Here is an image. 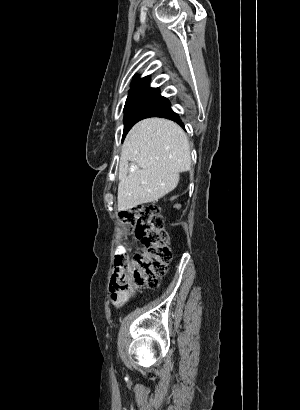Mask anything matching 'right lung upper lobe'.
Wrapping results in <instances>:
<instances>
[{
	"label": "right lung upper lobe",
	"instance_id": "1",
	"mask_svg": "<svg viewBox=\"0 0 300 410\" xmlns=\"http://www.w3.org/2000/svg\"><path fill=\"white\" fill-rule=\"evenodd\" d=\"M149 82H150V78H149V76H146V77L141 78V79L137 80L136 82H134L133 86L148 84Z\"/></svg>",
	"mask_w": 300,
	"mask_h": 410
}]
</instances>
